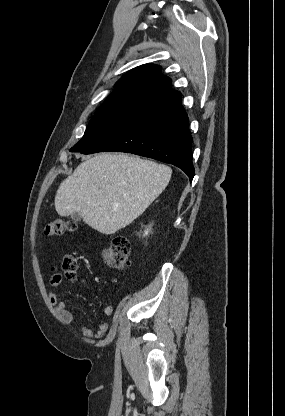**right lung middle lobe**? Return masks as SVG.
Masks as SVG:
<instances>
[{
  "mask_svg": "<svg viewBox=\"0 0 285 416\" xmlns=\"http://www.w3.org/2000/svg\"><path fill=\"white\" fill-rule=\"evenodd\" d=\"M161 109L160 105L133 95L108 98L91 119L82 139L70 151L85 150Z\"/></svg>",
  "mask_w": 285,
  "mask_h": 416,
  "instance_id": "1",
  "label": "right lung middle lobe"
}]
</instances>
